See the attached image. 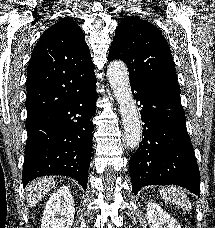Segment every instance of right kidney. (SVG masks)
<instances>
[{
    "mask_svg": "<svg viewBox=\"0 0 215 228\" xmlns=\"http://www.w3.org/2000/svg\"><path fill=\"white\" fill-rule=\"evenodd\" d=\"M75 204L69 188H60L49 198L41 228H71L74 222Z\"/></svg>",
    "mask_w": 215,
    "mask_h": 228,
    "instance_id": "obj_1",
    "label": "right kidney"
}]
</instances>
